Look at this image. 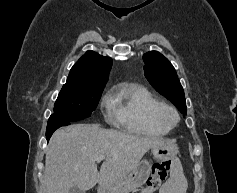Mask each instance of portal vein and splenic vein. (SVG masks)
I'll use <instances>...</instances> for the list:
<instances>
[{"instance_id":"portal-vein-and-splenic-vein-1","label":"portal vein and splenic vein","mask_w":237,"mask_h":193,"mask_svg":"<svg viewBox=\"0 0 237 193\" xmlns=\"http://www.w3.org/2000/svg\"><path fill=\"white\" fill-rule=\"evenodd\" d=\"M106 158V156L105 155H100V156H98L97 158H96V161H101V160H103V159H105Z\"/></svg>"}]
</instances>
